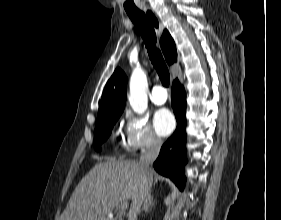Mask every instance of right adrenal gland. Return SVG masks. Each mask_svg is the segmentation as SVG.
<instances>
[{
    "label": "right adrenal gland",
    "instance_id": "2a0ac1e0",
    "mask_svg": "<svg viewBox=\"0 0 281 220\" xmlns=\"http://www.w3.org/2000/svg\"><path fill=\"white\" fill-rule=\"evenodd\" d=\"M153 206H155V200H154V197L150 193L144 202L142 211H145L147 213L150 209H152Z\"/></svg>",
    "mask_w": 281,
    "mask_h": 220
}]
</instances>
